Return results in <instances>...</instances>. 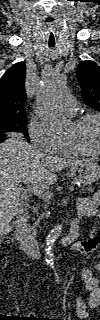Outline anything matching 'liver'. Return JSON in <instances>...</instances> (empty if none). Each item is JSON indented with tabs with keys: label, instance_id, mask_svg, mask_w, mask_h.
I'll return each mask as SVG.
<instances>
[{
	"label": "liver",
	"instance_id": "6515ba94",
	"mask_svg": "<svg viewBox=\"0 0 100 320\" xmlns=\"http://www.w3.org/2000/svg\"><path fill=\"white\" fill-rule=\"evenodd\" d=\"M0 144V218L1 227L23 213L17 181L33 180L40 186L57 181L56 172L79 163L80 160L60 159L46 155L29 145L22 134L9 133Z\"/></svg>",
	"mask_w": 100,
	"mask_h": 320
}]
</instances>
